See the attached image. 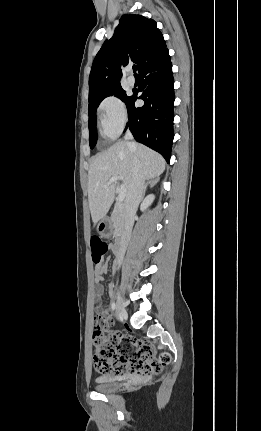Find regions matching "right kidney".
Instances as JSON below:
<instances>
[{
	"mask_svg": "<svg viewBox=\"0 0 261 431\" xmlns=\"http://www.w3.org/2000/svg\"><path fill=\"white\" fill-rule=\"evenodd\" d=\"M155 196L153 194L148 195L141 204V211H145L154 201Z\"/></svg>",
	"mask_w": 261,
	"mask_h": 431,
	"instance_id": "ca27d5eb",
	"label": "right kidney"
}]
</instances>
